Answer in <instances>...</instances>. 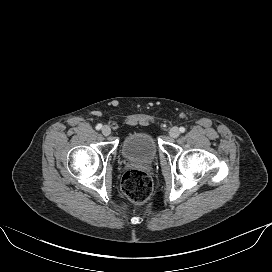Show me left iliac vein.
<instances>
[{"label":"left iliac vein","mask_w":272,"mask_h":272,"mask_svg":"<svg viewBox=\"0 0 272 272\" xmlns=\"http://www.w3.org/2000/svg\"><path fill=\"white\" fill-rule=\"evenodd\" d=\"M169 135L172 138H177L180 135V131L177 127H172L169 131Z\"/></svg>","instance_id":"1"}]
</instances>
